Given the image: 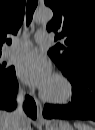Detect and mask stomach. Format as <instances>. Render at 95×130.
I'll list each match as a JSON object with an SVG mask.
<instances>
[{
    "instance_id": "stomach-1",
    "label": "stomach",
    "mask_w": 95,
    "mask_h": 130,
    "mask_svg": "<svg viewBox=\"0 0 95 130\" xmlns=\"http://www.w3.org/2000/svg\"><path fill=\"white\" fill-rule=\"evenodd\" d=\"M45 126L46 130H74L70 123L64 120H51Z\"/></svg>"
}]
</instances>
